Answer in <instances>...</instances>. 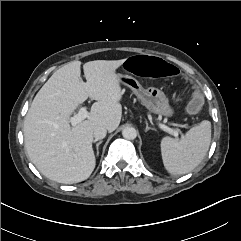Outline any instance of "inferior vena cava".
Returning <instances> with one entry per match:
<instances>
[{
	"mask_svg": "<svg viewBox=\"0 0 241 241\" xmlns=\"http://www.w3.org/2000/svg\"><path fill=\"white\" fill-rule=\"evenodd\" d=\"M106 133H107V129L103 126H98L95 130H94V137H95V140H100V139H103L105 138L106 136Z\"/></svg>",
	"mask_w": 241,
	"mask_h": 241,
	"instance_id": "602c4592",
	"label": "inferior vena cava"
}]
</instances>
